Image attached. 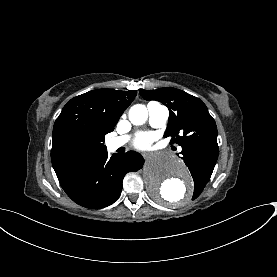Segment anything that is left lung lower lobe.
<instances>
[{
  "mask_svg": "<svg viewBox=\"0 0 277 277\" xmlns=\"http://www.w3.org/2000/svg\"><path fill=\"white\" fill-rule=\"evenodd\" d=\"M219 148L215 141L182 147L181 154L192 176L213 172L218 158Z\"/></svg>",
  "mask_w": 277,
  "mask_h": 277,
  "instance_id": "obj_1",
  "label": "left lung lower lobe"
}]
</instances>
